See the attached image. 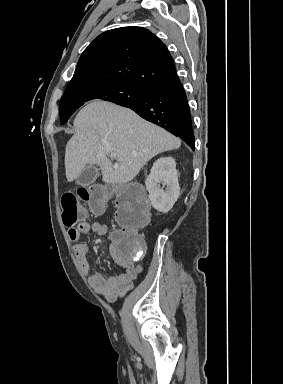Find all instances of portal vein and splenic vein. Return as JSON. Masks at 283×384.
Masks as SVG:
<instances>
[{
    "label": "portal vein and splenic vein",
    "mask_w": 283,
    "mask_h": 384,
    "mask_svg": "<svg viewBox=\"0 0 283 384\" xmlns=\"http://www.w3.org/2000/svg\"><path fill=\"white\" fill-rule=\"evenodd\" d=\"M114 156H116V154H110V158H114Z\"/></svg>",
    "instance_id": "portal-vein-and-splenic-vein-1"
}]
</instances>
